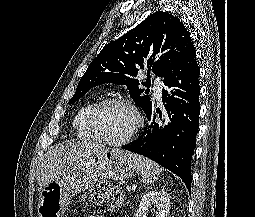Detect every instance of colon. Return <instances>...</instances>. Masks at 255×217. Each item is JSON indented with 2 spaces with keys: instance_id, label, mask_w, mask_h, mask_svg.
<instances>
[{
  "instance_id": "1",
  "label": "colon",
  "mask_w": 255,
  "mask_h": 217,
  "mask_svg": "<svg viewBox=\"0 0 255 217\" xmlns=\"http://www.w3.org/2000/svg\"><path fill=\"white\" fill-rule=\"evenodd\" d=\"M93 203H108L119 206L123 201V194L119 187H112L106 182L97 183L86 195Z\"/></svg>"
}]
</instances>
